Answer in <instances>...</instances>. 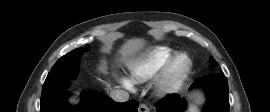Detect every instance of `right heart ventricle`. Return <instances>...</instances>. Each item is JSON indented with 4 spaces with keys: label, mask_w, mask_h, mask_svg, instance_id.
<instances>
[{
    "label": "right heart ventricle",
    "mask_w": 270,
    "mask_h": 112,
    "mask_svg": "<svg viewBox=\"0 0 270 112\" xmlns=\"http://www.w3.org/2000/svg\"><path fill=\"white\" fill-rule=\"evenodd\" d=\"M174 52L173 48L162 45L148 49L130 65L132 81L141 83L154 77Z\"/></svg>",
    "instance_id": "e07e8e85"
}]
</instances>
